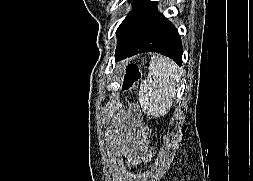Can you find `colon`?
Returning <instances> with one entry per match:
<instances>
[{"mask_svg": "<svg viewBox=\"0 0 253 181\" xmlns=\"http://www.w3.org/2000/svg\"><path fill=\"white\" fill-rule=\"evenodd\" d=\"M140 67L135 63H130L126 67V74L122 82V88L125 90L131 89L140 79Z\"/></svg>", "mask_w": 253, "mask_h": 181, "instance_id": "1", "label": "colon"}]
</instances>
